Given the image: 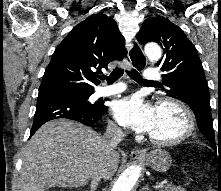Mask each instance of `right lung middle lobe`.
<instances>
[{"instance_id": "1", "label": "right lung middle lobe", "mask_w": 221, "mask_h": 191, "mask_svg": "<svg viewBox=\"0 0 221 191\" xmlns=\"http://www.w3.org/2000/svg\"><path fill=\"white\" fill-rule=\"evenodd\" d=\"M77 93V95L80 97V99L88 106V107H95L97 105V103L91 104L90 102H88V98L91 94L94 93V90H88V91H74Z\"/></svg>"}]
</instances>
